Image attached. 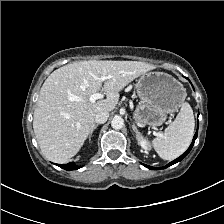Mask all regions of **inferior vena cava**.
<instances>
[{
	"mask_svg": "<svg viewBox=\"0 0 224 224\" xmlns=\"http://www.w3.org/2000/svg\"><path fill=\"white\" fill-rule=\"evenodd\" d=\"M108 117H109V112L107 111L98 112L95 115V122L99 124H103L107 121Z\"/></svg>",
	"mask_w": 224,
	"mask_h": 224,
	"instance_id": "1",
	"label": "inferior vena cava"
}]
</instances>
